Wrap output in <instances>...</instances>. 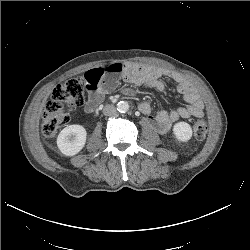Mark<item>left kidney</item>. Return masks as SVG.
<instances>
[{
  "mask_svg": "<svg viewBox=\"0 0 250 250\" xmlns=\"http://www.w3.org/2000/svg\"><path fill=\"white\" fill-rule=\"evenodd\" d=\"M175 138L180 142H187L192 137V128L187 122H178L173 126Z\"/></svg>",
  "mask_w": 250,
  "mask_h": 250,
  "instance_id": "5707ae66",
  "label": "left kidney"
}]
</instances>
